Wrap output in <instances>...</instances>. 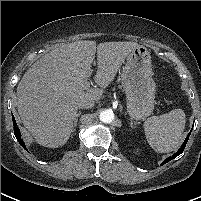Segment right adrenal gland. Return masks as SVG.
<instances>
[{
  "label": "right adrenal gland",
  "instance_id": "2a0ac1e0",
  "mask_svg": "<svg viewBox=\"0 0 201 201\" xmlns=\"http://www.w3.org/2000/svg\"><path fill=\"white\" fill-rule=\"evenodd\" d=\"M80 115H81V111H79V112L76 114V116H75L74 125H73V131H75V129H76L78 117H79Z\"/></svg>",
  "mask_w": 201,
  "mask_h": 201
}]
</instances>
